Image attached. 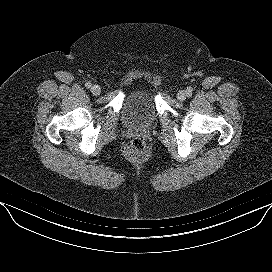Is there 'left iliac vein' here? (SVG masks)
Here are the masks:
<instances>
[{
    "mask_svg": "<svg viewBox=\"0 0 272 272\" xmlns=\"http://www.w3.org/2000/svg\"><path fill=\"white\" fill-rule=\"evenodd\" d=\"M188 96V93L187 91L185 90H180L177 94V98L180 100V101H184Z\"/></svg>",
    "mask_w": 272,
    "mask_h": 272,
    "instance_id": "left-iliac-vein-1",
    "label": "left iliac vein"
}]
</instances>
